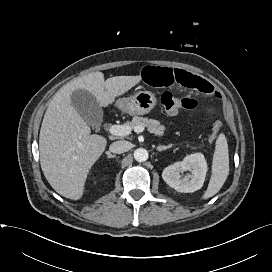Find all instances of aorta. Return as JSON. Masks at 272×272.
I'll return each instance as SVG.
<instances>
[{"label": "aorta", "mask_w": 272, "mask_h": 272, "mask_svg": "<svg viewBox=\"0 0 272 272\" xmlns=\"http://www.w3.org/2000/svg\"><path fill=\"white\" fill-rule=\"evenodd\" d=\"M134 158L138 162H144L148 159V151L144 148H138L134 151Z\"/></svg>", "instance_id": "obj_1"}]
</instances>
